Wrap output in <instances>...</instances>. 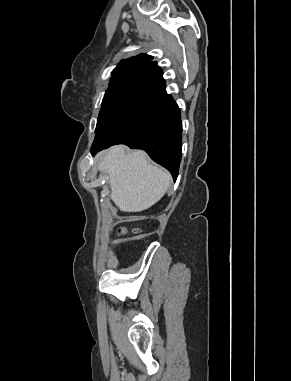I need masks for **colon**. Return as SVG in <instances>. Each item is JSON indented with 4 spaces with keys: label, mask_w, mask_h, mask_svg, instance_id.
Returning <instances> with one entry per match:
<instances>
[{
    "label": "colon",
    "mask_w": 291,
    "mask_h": 381,
    "mask_svg": "<svg viewBox=\"0 0 291 381\" xmlns=\"http://www.w3.org/2000/svg\"><path fill=\"white\" fill-rule=\"evenodd\" d=\"M133 231L135 232V230H133ZM128 232H129V231H128L126 228L122 227V228H120V229L118 230V235H119V236H125Z\"/></svg>",
    "instance_id": "obj_1"
}]
</instances>
